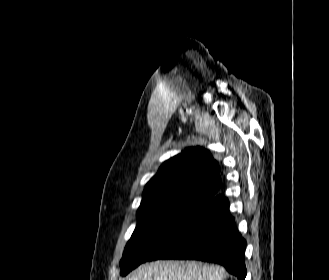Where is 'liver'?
<instances>
[{"instance_id": "6515ba94", "label": "liver", "mask_w": 329, "mask_h": 280, "mask_svg": "<svg viewBox=\"0 0 329 280\" xmlns=\"http://www.w3.org/2000/svg\"><path fill=\"white\" fill-rule=\"evenodd\" d=\"M224 270L195 261H155L141 265L129 280H223Z\"/></svg>"}]
</instances>
